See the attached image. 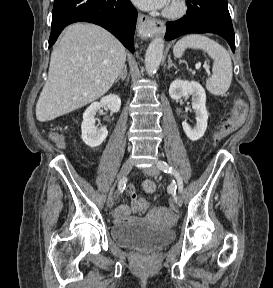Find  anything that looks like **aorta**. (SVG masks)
<instances>
[{
    "instance_id": "aorta-1",
    "label": "aorta",
    "mask_w": 273,
    "mask_h": 288,
    "mask_svg": "<svg viewBox=\"0 0 273 288\" xmlns=\"http://www.w3.org/2000/svg\"><path fill=\"white\" fill-rule=\"evenodd\" d=\"M164 40L157 37L149 44L145 54V69L148 75H153L158 70L163 57Z\"/></svg>"
}]
</instances>
